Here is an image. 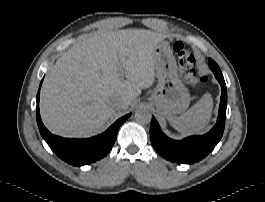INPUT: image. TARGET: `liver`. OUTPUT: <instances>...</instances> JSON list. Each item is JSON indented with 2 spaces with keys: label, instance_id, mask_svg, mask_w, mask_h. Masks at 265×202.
<instances>
[{
  "label": "liver",
  "instance_id": "1",
  "mask_svg": "<svg viewBox=\"0 0 265 202\" xmlns=\"http://www.w3.org/2000/svg\"><path fill=\"white\" fill-rule=\"evenodd\" d=\"M164 38L146 29L82 36L45 77L40 95L45 126L67 138L101 132L116 110H126L142 89L153 85L154 47ZM115 96L121 97L119 108L111 103Z\"/></svg>",
  "mask_w": 265,
  "mask_h": 202
}]
</instances>
